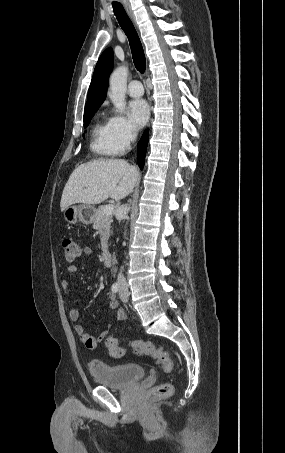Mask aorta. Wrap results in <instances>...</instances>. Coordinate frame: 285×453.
<instances>
[{
	"label": "aorta",
	"mask_w": 285,
	"mask_h": 453,
	"mask_svg": "<svg viewBox=\"0 0 285 453\" xmlns=\"http://www.w3.org/2000/svg\"><path fill=\"white\" fill-rule=\"evenodd\" d=\"M128 67L119 66L110 76L109 98L112 101L115 111L123 113L125 111V95L127 89Z\"/></svg>",
	"instance_id": "aorta-1"
}]
</instances>
